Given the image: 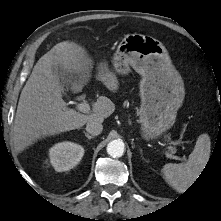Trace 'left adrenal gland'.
<instances>
[{"mask_svg": "<svg viewBox=\"0 0 221 221\" xmlns=\"http://www.w3.org/2000/svg\"><path fill=\"white\" fill-rule=\"evenodd\" d=\"M140 153H141V155L143 156L142 149H140ZM143 159H144V157H143Z\"/></svg>", "mask_w": 221, "mask_h": 221, "instance_id": "left-adrenal-gland-1", "label": "left adrenal gland"}]
</instances>
